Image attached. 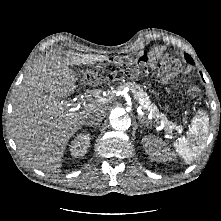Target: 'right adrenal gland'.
Instances as JSON below:
<instances>
[{
  "label": "right adrenal gland",
  "instance_id": "2a0ac1e0",
  "mask_svg": "<svg viewBox=\"0 0 221 221\" xmlns=\"http://www.w3.org/2000/svg\"><path fill=\"white\" fill-rule=\"evenodd\" d=\"M86 125H88V126H92V124H88V123H86Z\"/></svg>",
  "mask_w": 221,
  "mask_h": 221
}]
</instances>
